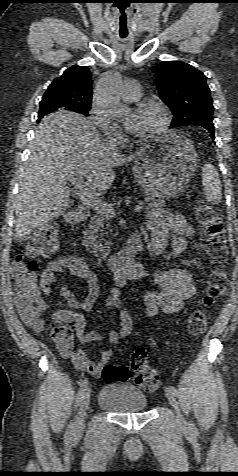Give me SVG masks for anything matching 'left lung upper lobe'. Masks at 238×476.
Segmentation results:
<instances>
[{
	"instance_id": "5c2ea615",
	"label": "left lung upper lobe",
	"mask_w": 238,
	"mask_h": 476,
	"mask_svg": "<svg viewBox=\"0 0 238 476\" xmlns=\"http://www.w3.org/2000/svg\"><path fill=\"white\" fill-rule=\"evenodd\" d=\"M159 96L174 118L170 128L180 125H213V101L205 75L191 65L163 61L154 66Z\"/></svg>"
}]
</instances>
